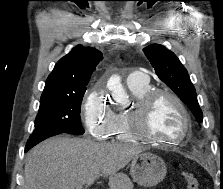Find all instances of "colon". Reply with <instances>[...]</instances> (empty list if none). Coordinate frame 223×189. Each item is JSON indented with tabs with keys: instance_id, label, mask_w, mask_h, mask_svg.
<instances>
[{
	"instance_id": "5ec220e1",
	"label": "colon",
	"mask_w": 223,
	"mask_h": 189,
	"mask_svg": "<svg viewBox=\"0 0 223 189\" xmlns=\"http://www.w3.org/2000/svg\"><path fill=\"white\" fill-rule=\"evenodd\" d=\"M183 177L187 183L188 189H200L199 180L194 172L184 171Z\"/></svg>"
}]
</instances>
